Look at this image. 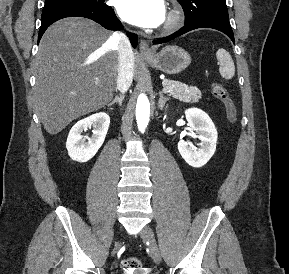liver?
<instances>
[{"instance_id":"1","label":"liver","mask_w":289,"mask_h":274,"mask_svg":"<svg viewBox=\"0 0 289 274\" xmlns=\"http://www.w3.org/2000/svg\"><path fill=\"white\" fill-rule=\"evenodd\" d=\"M111 36L97 23L78 17L62 19L44 33L34 62V97L49 134H58L113 98L119 57ZM133 55L136 67L139 57Z\"/></svg>"}]
</instances>
